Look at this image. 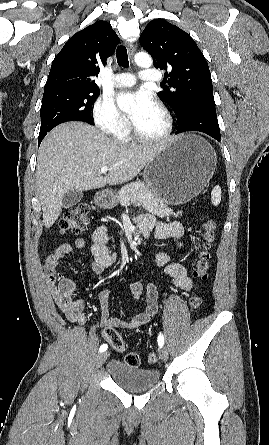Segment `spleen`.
Segmentation results:
<instances>
[{"mask_svg":"<svg viewBox=\"0 0 269 445\" xmlns=\"http://www.w3.org/2000/svg\"><path fill=\"white\" fill-rule=\"evenodd\" d=\"M211 202L214 206H217L221 202V188L218 185L211 191Z\"/></svg>","mask_w":269,"mask_h":445,"instance_id":"1","label":"spleen"}]
</instances>
